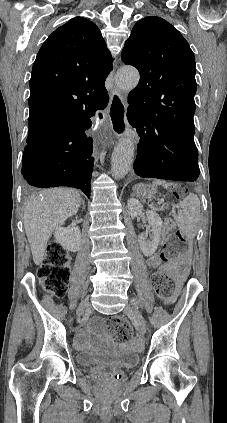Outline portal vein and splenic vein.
Returning <instances> with one entry per match:
<instances>
[{
	"label": "portal vein and splenic vein",
	"mask_w": 227,
	"mask_h": 423,
	"mask_svg": "<svg viewBox=\"0 0 227 423\" xmlns=\"http://www.w3.org/2000/svg\"><path fill=\"white\" fill-rule=\"evenodd\" d=\"M164 203V199L159 200L158 205L161 206V209H166V206H162ZM167 209H171V212H181V209H177V206H167Z\"/></svg>",
	"instance_id": "18ae733b"
}]
</instances>
